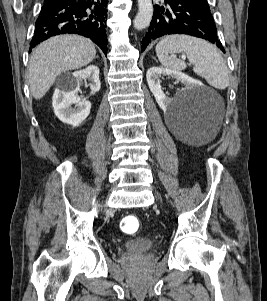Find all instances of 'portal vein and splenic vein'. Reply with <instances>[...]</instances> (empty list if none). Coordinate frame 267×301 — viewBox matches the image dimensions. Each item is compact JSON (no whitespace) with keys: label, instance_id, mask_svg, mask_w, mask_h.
Here are the masks:
<instances>
[{"label":"portal vein and splenic vein","instance_id":"1","mask_svg":"<svg viewBox=\"0 0 267 301\" xmlns=\"http://www.w3.org/2000/svg\"><path fill=\"white\" fill-rule=\"evenodd\" d=\"M182 59H183V60H185V59H186V57H185V56H183V57H182Z\"/></svg>","mask_w":267,"mask_h":301}]
</instances>
